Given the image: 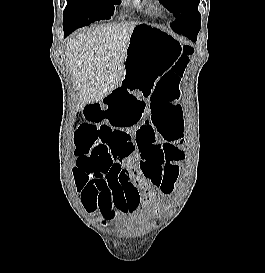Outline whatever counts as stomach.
<instances>
[{"label":"stomach","mask_w":265,"mask_h":273,"mask_svg":"<svg viewBox=\"0 0 265 273\" xmlns=\"http://www.w3.org/2000/svg\"><path fill=\"white\" fill-rule=\"evenodd\" d=\"M179 50L180 43L170 32L159 26L139 23L129 40L124 75L120 85H114V90L150 95V90L146 89L171 67Z\"/></svg>","instance_id":"stomach-1"}]
</instances>
